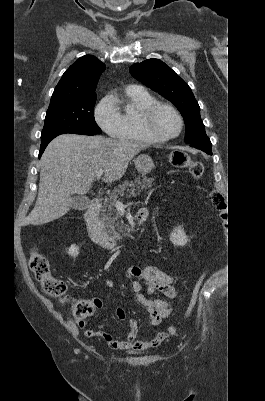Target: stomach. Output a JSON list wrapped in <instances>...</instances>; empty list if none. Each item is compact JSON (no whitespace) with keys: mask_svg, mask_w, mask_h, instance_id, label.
Wrapping results in <instances>:
<instances>
[{"mask_svg":"<svg viewBox=\"0 0 265 401\" xmlns=\"http://www.w3.org/2000/svg\"><path fill=\"white\" fill-rule=\"evenodd\" d=\"M134 164L140 174H147L154 168V162L148 154H139L134 160Z\"/></svg>","mask_w":265,"mask_h":401,"instance_id":"1","label":"stomach"}]
</instances>
